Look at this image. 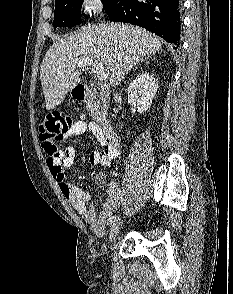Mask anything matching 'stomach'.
<instances>
[{
    "mask_svg": "<svg viewBox=\"0 0 233 294\" xmlns=\"http://www.w3.org/2000/svg\"><path fill=\"white\" fill-rule=\"evenodd\" d=\"M71 94H72V96H73V97H75V96H76V92H75V91H73V90H71Z\"/></svg>",
    "mask_w": 233,
    "mask_h": 294,
    "instance_id": "stomach-1",
    "label": "stomach"
}]
</instances>
